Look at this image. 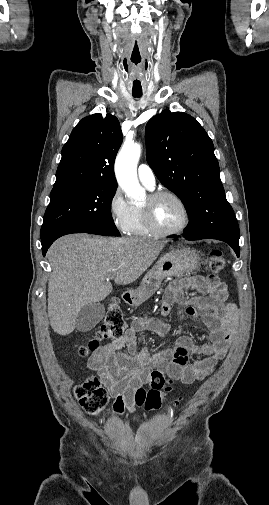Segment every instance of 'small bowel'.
Returning a JSON list of instances; mask_svg holds the SVG:
<instances>
[{
	"instance_id": "small-bowel-1",
	"label": "small bowel",
	"mask_w": 269,
	"mask_h": 505,
	"mask_svg": "<svg viewBox=\"0 0 269 505\" xmlns=\"http://www.w3.org/2000/svg\"><path fill=\"white\" fill-rule=\"evenodd\" d=\"M207 274L206 278L196 276L170 285L167 301L187 304L186 309L179 311V318L201 322L208 330V342L196 345L189 337L182 336L173 349L149 355L145 348L138 347L137 334L150 330L165 335L169 326L156 319L142 318L134 320L123 336L100 347L89 358L88 367L96 371L99 381L114 398L115 414L135 411V393L146 384L152 370L163 369L170 378L191 384L209 376L225 356L235 330L238 309L227 302L226 284L213 278L211 271ZM184 286L201 294L186 300L181 291ZM164 312L171 314L173 307L166 305ZM123 348L127 352L121 351ZM190 355L197 356V359L191 362Z\"/></svg>"
}]
</instances>
